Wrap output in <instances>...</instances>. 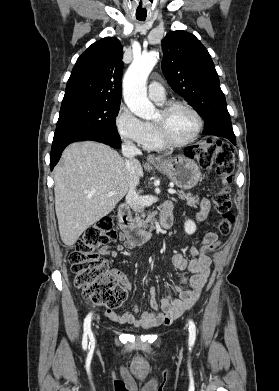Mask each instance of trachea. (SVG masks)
<instances>
[{
  "label": "trachea",
  "instance_id": "3493384b",
  "mask_svg": "<svg viewBox=\"0 0 279 391\" xmlns=\"http://www.w3.org/2000/svg\"><path fill=\"white\" fill-rule=\"evenodd\" d=\"M139 21H144L145 18H137Z\"/></svg>",
  "mask_w": 279,
  "mask_h": 391
}]
</instances>
